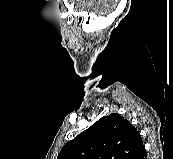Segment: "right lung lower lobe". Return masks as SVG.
<instances>
[{"label":"right lung lower lobe","mask_w":173,"mask_h":159,"mask_svg":"<svg viewBox=\"0 0 173 159\" xmlns=\"http://www.w3.org/2000/svg\"><path fill=\"white\" fill-rule=\"evenodd\" d=\"M139 159H147V155H146V152L145 153H143L140 157H139Z\"/></svg>","instance_id":"obj_1"}]
</instances>
